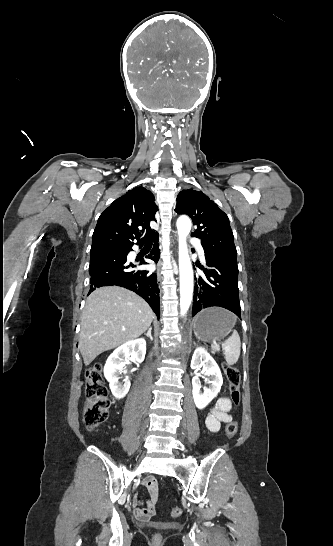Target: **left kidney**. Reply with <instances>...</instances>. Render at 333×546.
<instances>
[{
	"mask_svg": "<svg viewBox=\"0 0 333 546\" xmlns=\"http://www.w3.org/2000/svg\"><path fill=\"white\" fill-rule=\"evenodd\" d=\"M201 367H203L202 373L208 377L205 378V381L210 384V386L202 393L200 391L201 384L199 377L194 376L192 379L193 399L196 407L199 409L205 408L211 400L216 397L223 384V378L218 364L204 348L199 347L195 349L193 353L191 368L197 371Z\"/></svg>",
	"mask_w": 333,
	"mask_h": 546,
	"instance_id": "5707ae66",
	"label": "left kidney"
}]
</instances>
